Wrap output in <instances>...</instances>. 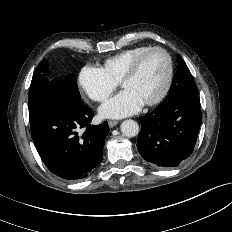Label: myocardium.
<instances>
[{"mask_svg":"<svg viewBox=\"0 0 232 232\" xmlns=\"http://www.w3.org/2000/svg\"><path fill=\"white\" fill-rule=\"evenodd\" d=\"M153 52H162L166 56L168 71H167L166 81H165V84H164L162 90L155 98L145 102L144 104L146 106H154V105H157L160 102H162L164 100V98L167 96V94L171 88V85L173 82V77H174V65H173V59H172L170 53L162 47H158V46L150 47L149 49L143 51L137 57L134 58V60L131 62V64L129 65V67L127 68L126 72L124 73V75L122 76V78L120 80V86L123 87V85L127 81H129L130 79H132L136 75L143 60L149 54H151Z\"/></svg>","mask_w":232,"mask_h":232,"instance_id":"f54148a6","label":"myocardium"}]
</instances>
